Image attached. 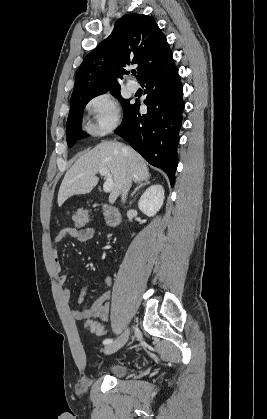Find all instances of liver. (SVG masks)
Returning a JSON list of instances; mask_svg holds the SVG:
<instances>
[{
	"label": "liver",
	"mask_w": 267,
	"mask_h": 419,
	"mask_svg": "<svg viewBox=\"0 0 267 419\" xmlns=\"http://www.w3.org/2000/svg\"><path fill=\"white\" fill-rule=\"evenodd\" d=\"M102 168H107L114 180L110 203L121 194L128 174L136 183L151 176L145 160L134 149L118 142H103L82 155L66 172L58 192V205L71 196L90 193L98 184L96 174Z\"/></svg>",
	"instance_id": "obj_1"
}]
</instances>
